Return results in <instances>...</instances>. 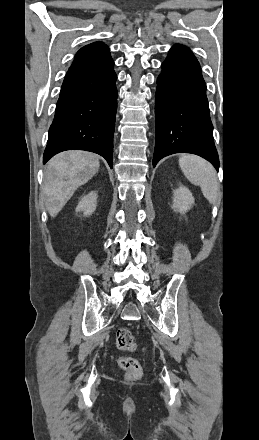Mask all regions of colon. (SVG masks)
<instances>
[{"instance_id":"1","label":"colon","mask_w":259,"mask_h":440,"mask_svg":"<svg viewBox=\"0 0 259 440\" xmlns=\"http://www.w3.org/2000/svg\"><path fill=\"white\" fill-rule=\"evenodd\" d=\"M116 345L118 349L124 352H133L136 350L137 345L132 332L127 328H121L116 333ZM118 364L126 372L128 379H137L142 373L140 363L129 356H121L118 359Z\"/></svg>"}]
</instances>
